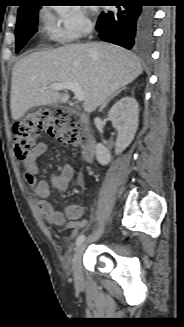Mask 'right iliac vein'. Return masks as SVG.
Returning a JSON list of instances; mask_svg holds the SVG:
<instances>
[{"mask_svg": "<svg viewBox=\"0 0 184 327\" xmlns=\"http://www.w3.org/2000/svg\"><path fill=\"white\" fill-rule=\"evenodd\" d=\"M103 233V228H99L90 238L89 242L97 240ZM85 248V244H81L75 255L74 263H73V275L76 285H81L83 283V272H82V255Z\"/></svg>", "mask_w": 184, "mask_h": 327, "instance_id": "obj_1", "label": "right iliac vein"}]
</instances>
